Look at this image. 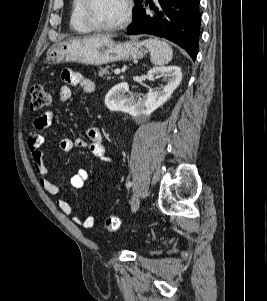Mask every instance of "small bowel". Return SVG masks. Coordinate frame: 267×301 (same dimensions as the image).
Returning a JSON list of instances; mask_svg holds the SVG:
<instances>
[{"instance_id": "1", "label": "small bowel", "mask_w": 267, "mask_h": 301, "mask_svg": "<svg viewBox=\"0 0 267 301\" xmlns=\"http://www.w3.org/2000/svg\"><path fill=\"white\" fill-rule=\"evenodd\" d=\"M62 79L65 82V85L61 87L59 92V100L61 102H66L71 98L72 91L70 86H77L87 94H91L95 90V83L91 79L79 73L64 71L62 74ZM53 117L54 115L52 111H46L35 119L33 128L28 136V147L30 149L31 158L35 170L40 175L41 186L50 195L57 196L60 189L56 184L46 178L48 169L44 163L42 151V145L47 141L46 137L43 134V131L52 124ZM87 137L88 140H85L83 138H76L74 140L66 138L62 139L59 143V147L63 152H70L74 148H87L95 157L107 161H112V159L106 155L103 145L102 132L99 128H88ZM88 177L89 174L85 169H79L71 177L70 185L74 189H80L84 186V184L88 180ZM57 205L65 215H72L73 209L69 202L63 199H58ZM72 221L75 224L82 225L85 228H92L95 222L92 216H88L85 219H82L78 215H73Z\"/></svg>"}]
</instances>
